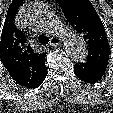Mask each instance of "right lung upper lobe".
<instances>
[{
	"label": "right lung upper lobe",
	"mask_w": 113,
	"mask_h": 113,
	"mask_svg": "<svg viewBox=\"0 0 113 113\" xmlns=\"http://www.w3.org/2000/svg\"><path fill=\"white\" fill-rule=\"evenodd\" d=\"M23 1L13 0L9 6L1 35L0 58L18 84L35 88L47 74L46 53H35L25 34L15 26V15Z\"/></svg>",
	"instance_id": "1"
}]
</instances>
